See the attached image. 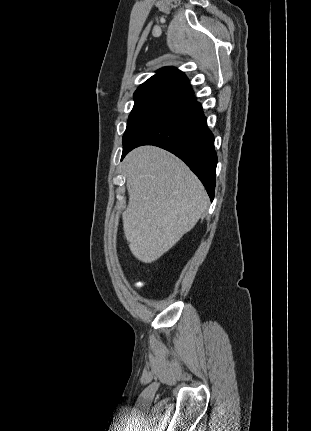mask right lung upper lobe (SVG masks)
Here are the masks:
<instances>
[{
	"label": "right lung upper lobe",
	"instance_id": "1",
	"mask_svg": "<svg viewBox=\"0 0 311 431\" xmlns=\"http://www.w3.org/2000/svg\"><path fill=\"white\" fill-rule=\"evenodd\" d=\"M155 90L176 95L180 98L194 94L188 78L180 70L165 67L141 84L136 91Z\"/></svg>",
	"mask_w": 311,
	"mask_h": 431
}]
</instances>
